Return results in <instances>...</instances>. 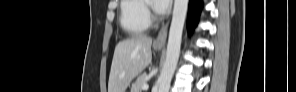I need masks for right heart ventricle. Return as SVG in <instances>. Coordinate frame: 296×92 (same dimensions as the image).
I'll list each match as a JSON object with an SVG mask.
<instances>
[{
  "instance_id": "1",
  "label": "right heart ventricle",
  "mask_w": 296,
  "mask_h": 92,
  "mask_svg": "<svg viewBox=\"0 0 296 92\" xmlns=\"http://www.w3.org/2000/svg\"><path fill=\"white\" fill-rule=\"evenodd\" d=\"M146 2L123 0L120 4V25L129 35H139L149 28Z\"/></svg>"
}]
</instances>
